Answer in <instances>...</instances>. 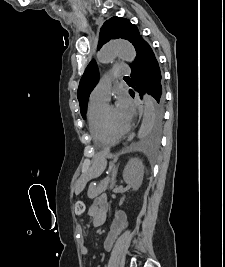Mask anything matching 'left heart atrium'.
<instances>
[{"instance_id":"1","label":"left heart atrium","mask_w":225,"mask_h":267,"mask_svg":"<svg viewBox=\"0 0 225 267\" xmlns=\"http://www.w3.org/2000/svg\"><path fill=\"white\" fill-rule=\"evenodd\" d=\"M116 110L120 119L128 127L133 115V106L127 95L121 94L119 96Z\"/></svg>"}]
</instances>
